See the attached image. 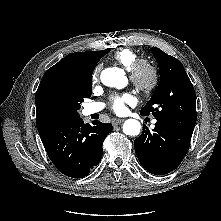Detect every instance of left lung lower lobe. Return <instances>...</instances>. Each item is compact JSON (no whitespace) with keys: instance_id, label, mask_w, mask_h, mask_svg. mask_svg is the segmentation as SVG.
I'll list each match as a JSON object with an SVG mask.
<instances>
[{"instance_id":"0a47b994","label":"left lung lower lobe","mask_w":221,"mask_h":221,"mask_svg":"<svg viewBox=\"0 0 221 221\" xmlns=\"http://www.w3.org/2000/svg\"><path fill=\"white\" fill-rule=\"evenodd\" d=\"M192 133L158 122L153 132L144 127L142 134L134 141L138 160L152 174H167L182 162L189 149Z\"/></svg>"}]
</instances>
